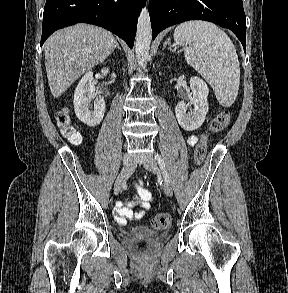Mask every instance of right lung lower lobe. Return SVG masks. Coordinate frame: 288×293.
Segmentation results:
<instances>
[{"label":"right lung lower lobe","mask_w":288,"mask_h":293,"mask_svg":"<svg viewBox=\"0 0 288 293\" xmlns=\"http://www.w3.org/2000/svg\"><path fill=\"white\" fill-rule=\"evenodd\" d=\"M146 0H47L41 46L56 30L79 22L101 26L133 48L138 14Z\"/></svg>","instance_id":"98d812e1"}]
</instances>
